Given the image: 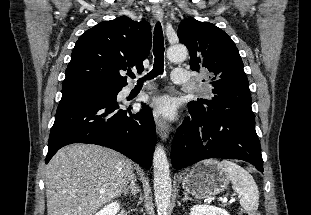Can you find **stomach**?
Here are the masks:
<instances>
[{"mask_svg": "<svg viewBox=\"0 0 311 215\" xmlns=\"http://www.w3.org/2000/svg\"><path fill=\"white\" fill-rule=\"evenodd\" d=\"M230 179L217 160L209 159L196 164L183 178L184 190L198 199L212 198L224 191Z\"/></svg>", "mask_w": 311, "mask_h": 215, "instance_id": "stomach-1", "label": "stomach"}]
</instances>
